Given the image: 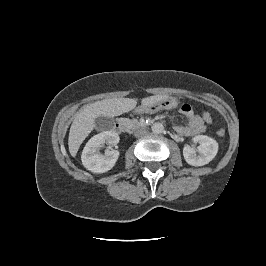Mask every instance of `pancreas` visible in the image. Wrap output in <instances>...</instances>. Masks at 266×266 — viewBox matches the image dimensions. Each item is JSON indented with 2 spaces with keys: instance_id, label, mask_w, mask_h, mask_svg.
<instances>
[{
  "instance_id": "obj_1",
  "label": "pancreas",
  "mask_w": 266,
  "mask_h": 266,
  "mask_svg": "<svg viewBox=\"0 0 266 266\" xmlns=\"http://www.w3.org/2000/svg\"><path fill=\"white\" fill-rule=\"evenodd\" d=\"M132 123H133V124H136V123H137V121H136V120H133V121H132Z\"/></svg>"
}]
</instances>
